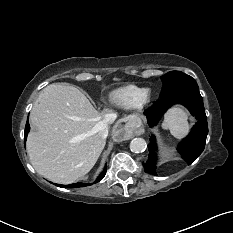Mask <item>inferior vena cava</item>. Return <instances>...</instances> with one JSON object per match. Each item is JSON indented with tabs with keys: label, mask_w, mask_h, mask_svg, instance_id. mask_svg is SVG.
<instances>
[{
	"label": "inferior vena cava",
	"mask_w": 233,
	"mask_h": 233,
	"mask_svg": "<svg viewBox=\"0 0 233 233\" xmlns=\"http://www.w3.org/2000/svg\"><path fill=\"white\" fill-rule=\"evenodd\" d=\"M117 115L115 113H106L104 116V122L100 128L99 135L102 139H106L108 136V124H112Z\"/></svg>",
	"instance_id": "602c4592"
}]
</instances>
